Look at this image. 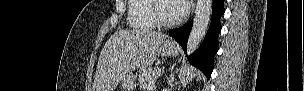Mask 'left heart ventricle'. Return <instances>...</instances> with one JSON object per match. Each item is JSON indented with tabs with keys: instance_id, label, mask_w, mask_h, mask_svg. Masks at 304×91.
I'll return each mask as SVG.
<instances>
[{
	"instance_id": "b2bd125f",
	"label": "left heart ventricle",
	"mask_w": 304,
	"mask_h": 91,
	"mask_svg": "<svg viewBox=\"0 0 304 91\" xmlns=\"http://www.w3.org/2000/svg\"><path fill=\"white\" fill-rule=\"evenodd\" d=\"M160 15L165 20H174L181 16L177 1H163L160 3Z\"/></svg>"
}]
</instances>
